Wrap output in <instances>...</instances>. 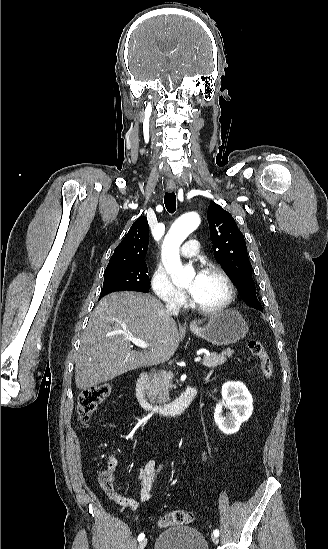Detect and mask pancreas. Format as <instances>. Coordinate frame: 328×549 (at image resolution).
<instances>
[{
    "label": "pancreas",
    "mask_w": 328,
    "mask_h": 549,
    "mask_svg": "<svg viewBox=\"0 0 328 549\" xmlns=\"http://www.w3.org/2000/svg\"><path fill=\"white\" fill-rule=\"evenodd\" d=\"M233 353L234 351H232V349H226V351H222L220 355H217V353H210V355H206V357L202 359V365H204V367H210V369H215L218 365H224L227 357H231ZM172 379V371H158L156 375H151L150 383H148L146 389L148 395L151 397L152 403H155V399H157L156 403H160V405H166L168 401H171L168 389L169 387H173Z\"/></svg>",
    "instance_id": "cf45deb5"
}]
</instances>
